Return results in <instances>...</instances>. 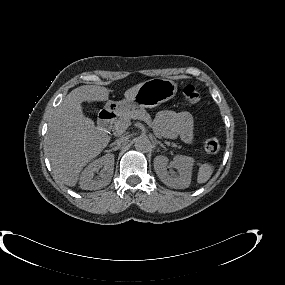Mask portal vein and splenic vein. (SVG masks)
<instances>
[{"mask_svg":"<svg viewBox=\"0 0 285 285\" xmlns=\"http://www.w3.org/2000/svg\"><path fill=\"white\" fill-rule=\"evenodd\" d=\"M141 120H143L145 123H147L148 125H150V121H149V120H147V119H145V118H143V119H141Z\"/></svg>","mask_w":285,"mask_h":285,"instance_id":"18ae733b","label":"portal vein and splenic vein"}]
</instances>
